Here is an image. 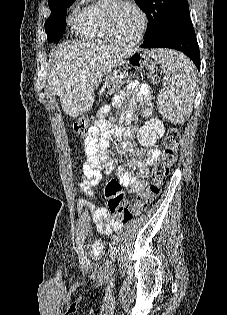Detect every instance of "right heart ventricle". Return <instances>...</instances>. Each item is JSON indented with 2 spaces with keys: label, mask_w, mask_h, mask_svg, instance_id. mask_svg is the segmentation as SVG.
I'll use <instances>...</instances> for the list:
<instances>
[{
  "label": "right heart ventricle",
  "mask_w": 227,
  "mask_h": 315,
  "mask_svg": "<svg viewBox=\"0 0 227 315\" xmlns=\"http://www.w3.org/2000/svg\"><path fill=\"white\" fill-rule=\"evenodd\" d=\"M108 1H90L72 13L71 23L82 39L94 43L111 42L104 24V10Z\"/></svg>",
  "instance_id": "e07e8e85"
}]
</instances>
